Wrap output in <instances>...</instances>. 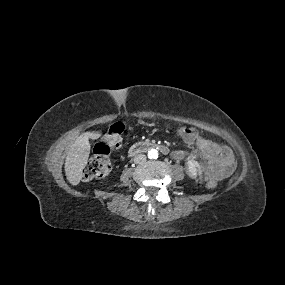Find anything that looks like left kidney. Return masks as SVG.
Listing matches in <instances>:
<instances>
[{
  "instance_id": "1",
  "label": "left kidney",
  "mask_w": 285,
  "mask_h": 285,
  "mask_svg": "<svg viewBox=\"0 0 285 285\" xmlns=\"http://www.w3.org/2000/svg\"><path fill=\"white\" fill-rule=\"evenodd\" d=\"M187 171L188 173L192 176V177H196L197 176V166L194 162L189 161L187 163Z\"/></svg>"
}]
</instances>
